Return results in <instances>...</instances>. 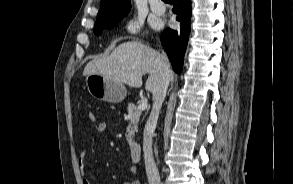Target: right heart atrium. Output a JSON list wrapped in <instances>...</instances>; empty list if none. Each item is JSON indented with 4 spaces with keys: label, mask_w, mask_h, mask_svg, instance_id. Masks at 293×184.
Returning <instances> with one entry per match:
<instances>
[{
    "label": "right heart atrium",
    "mask_w": 293,
    "mask_h": 184,
    "mask_svg": "<svg viewBox=\"0 0 293 184\" xmlns=\"http://www.w3.org/2000/svg\"><path fill=\"white\" fill-rule=\"evenodd\" d=\"M142 22L136 18L127 19L122 26V32L127 37H134L141 33Z\"/></svg>",
    "instance_id": "right-heart-atrium-1"
}]
</instances>
